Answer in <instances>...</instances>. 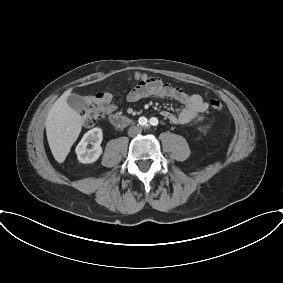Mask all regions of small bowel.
Segmentation results:
<instances>
[{"label":"small bowel","mask_w":283,"mask_h":283,"mask_svg":"<svg viewBox=\"0 0 283 283\" xmlns=\"http://www.w3.org/2000/svg\"><path fill=\"white\" fill-rule=\"evenodd\" d=\"M149 96L172 98L184 105L178 114L167 110L161 112V115L173 124H188L208 108L207 102L200 95L189 94L181 88L161 82L157 86L144 81L139 82L127 93L126 101L135 103ZM86 101L98 104L106 114H111L116 110L113 94L109 91L87 96Z\"/></svg>","instance_id":"1"}]
</instances>
